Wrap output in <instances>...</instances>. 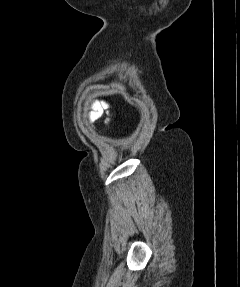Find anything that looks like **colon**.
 Here are the masks:
<instances>
[{
  "instance_id": "obj_1",
  "label": "colon",
  "mask_w": 240,
  "mask_h": 287,
  "mask_svg": "<svg viewBox=\"0 0 240 287\" xmlns=\"http://www.w3.org/2000/svg\"><path fill=\"white\" fill-rule=\"evenodd\" d=\"M102 108V111L103 109L106 111V114L107 115H110V112L108 110V104L106 102H101V104H99ZM106 123H109V120L106 121Z\"/></svg>"
}]
</instances>
